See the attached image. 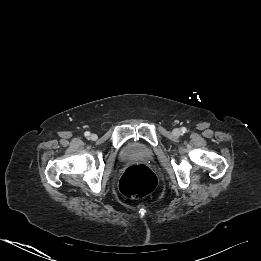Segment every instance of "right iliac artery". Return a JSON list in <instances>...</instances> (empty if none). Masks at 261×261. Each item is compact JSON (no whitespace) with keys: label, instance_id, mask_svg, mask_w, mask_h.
Masks as SVG:
<instances>
[{"label":"right iliac artery","instance_id":"right-iliac-artery-1","mask_svg":"<svg viewBox=\"0 0 261 261\" xmlns=\"http://www.w3.org/2000/svg\"><path fill=\"white\" fill-rule=\"evenodd\" d=\"M84 135H85L86 137H89V136H90V132H89V131H86V132L84 133Z\"/></svg>","mask_w":261,"mask_h":261}]
</instances>
